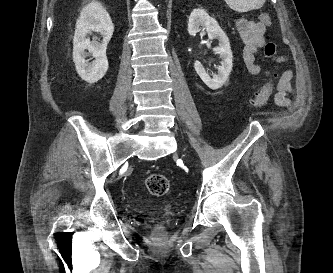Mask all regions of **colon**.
<instances>
[{"instance_id":"1","label":"colon","mask_w":333,"mask_h":273,"mask_svg":"<svg viewBox=\"0 0 333 273\" xmlns=\"http://www.w3.org/2000/svg\"><path fill=\"white\" fill-rule=\"evenodd\" d=\"M260 20L263 24L270 26L272 24L271 16L267 13H262L260 15ZM264 57L267 59H272L276 55V45L270 39H267L264 45ZM277 74L274 73L270 78L262 84L259 90L256 92L254 97L251 99L250 104L253 107L261 108L266 105L269 98L274 91V82ZM169 180L166 176L162 174H152L146 179V188L150 194L154 196H163L169 190Z\"/></svg>"}]
</instances>
